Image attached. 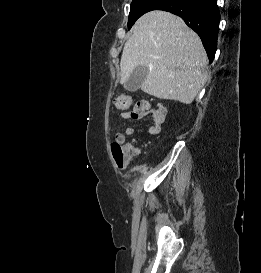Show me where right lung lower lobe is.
<instances>
[{
  "instance_id": "1",
  "label": "right lung lower lobe",
  "mask_w": 261,
  "mask_h": 273,
  "mask_svg": "<svg viewBox=\"0 0 261 273\" xmlns=\"http://www.w3.org/2000/svg\"><path fill=\"white\" fill-rule=\"evenodd\" d=\"M160 10L181 17L201 38L210 63L213 61L218 37L220 13L217 0H165Z\"/></svg>"
}]
</instances>
